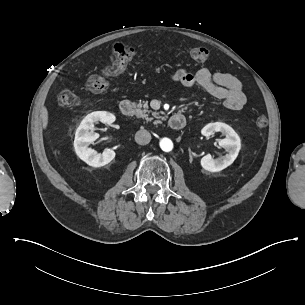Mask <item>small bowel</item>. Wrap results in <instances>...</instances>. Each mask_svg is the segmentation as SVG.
Listing matches in <instances>:
<instances>
[{
  "label": "small bowel",
  "mask_w": 305,
  "mask_h": 305,
  "mask_svg": "<svg viewBox=\"0 0 305 305\" xmlns=\"http://www.w3.org/2000/svg\"><path fill=\"white\" fill-rule=\"evenodd\" d=\"M169 79L186 87L201 86L210 95L223 101L229 110H241L246 104L242 83L228 73H211L207 68H200L194 72L179 69L170 74Z\"/></svg>",
  "instance_id": "c3829d8e"
}]
</instances>
